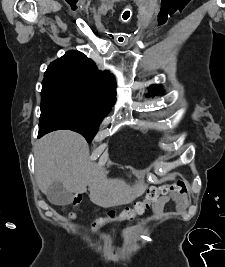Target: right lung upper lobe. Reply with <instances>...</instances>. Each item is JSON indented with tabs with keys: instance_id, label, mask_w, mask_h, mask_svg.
Listing matches in <instances>:
<instances>
[{
	"instance_id": "obj_1",
	"label": "right lung upper lobe",
	"mask_w": 225,
	"mask_h": 267,
	"mask_svg": "<svg viewBox=\"0 0 225 267\" xmlns=\"http://www.w3.org/2000/svg\"><path fill=\"white\" fill-rule=\"evenodd\" d=\"M43 82H65L88 90L94 99L111 108L116 101V82L79 51H68L48 66Z\"/></svg>"
}]
</instances>
